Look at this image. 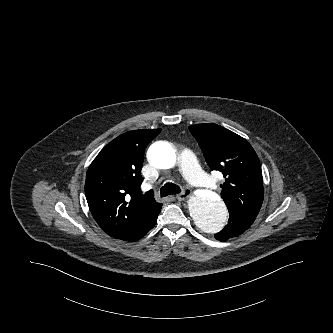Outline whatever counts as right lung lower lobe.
I'll return each instance as SVG.
<instances>
[{
	"label": "right lung lower lobe",
	"instance_id": "right-lung-lower-lobe-1",
	"mask_svg": "<svg viewBox=\"0 0 333 333\" xmlns=\"http://www.w3.org/2000/svg\"><path fill=\"white\" fill-rule=\"evenodd\" d=\"M160 210L161 206L154 209L152 213L141 222V225L136 231V233H134L129 238L125 239V241L133 242L142 238L149 230H151L155 226Z\"/></svg>",
	"mask_w": 333,
	"mask_h": 333
}]
</instances>
